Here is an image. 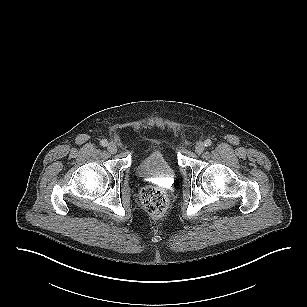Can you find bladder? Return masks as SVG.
Wrapping results in <instances>:
<instances>
[{"instance_id":"1","label":"bladder","mask_w":307,"mask_h":307,"mask_svg":"<svg viewBox=\"0 0 307 307\" xmlns=\"http://www.w3.org/2000/svg\"><path fill=\"white\" fill-rule=\"evenodd\" d=\"M136 173L140 178L174 179L175 170L161 151H153L136 164Z\"/></svg>"}]
</instances>
